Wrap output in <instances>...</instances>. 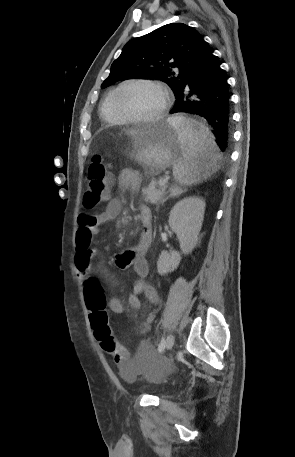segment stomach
Returning <instances> with one entry per match:
<instances>
[{"label": "stomach", "instance_id": "obj_1", "mask_svg": "<svg viewBox=\"0 0 295 457\" xmlns=\"http://www.w3.org/2000/svg\"><path fill=\"white\" fill-rule=\"evenodd\" d=\"M178 132L162 121L148 132L133 137L130 157L150 175H156L179 160Z\"/></svg>", "mask_w": 295, "mask_h": 457}]
</instances>
